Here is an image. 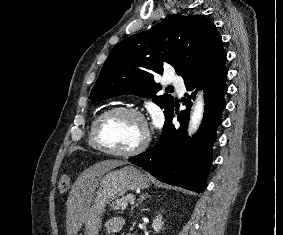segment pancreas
Returning <instances> with one entry per match:
<instances>
[{
  "mask_svg": "<svg viewBox=\"0 0 283 235\" xmlns=\"http://www.w3.org/2000/svg\"><path fill=\"white\" fill-rule=\"evenodd\" d=\"M134 196L132 194H127L126 196L116 199L112 204H111V208L113 210H124L126 209V207L128 206L129 203L132 202Z\"/></svg>",
  "mask_w": 283,
  "mask_h": 235,
  "instance_id": "cf45deb5",
  "label": "pancreas"
}]
</instances>
